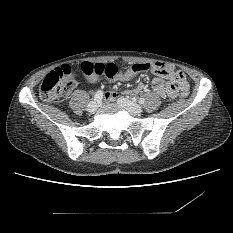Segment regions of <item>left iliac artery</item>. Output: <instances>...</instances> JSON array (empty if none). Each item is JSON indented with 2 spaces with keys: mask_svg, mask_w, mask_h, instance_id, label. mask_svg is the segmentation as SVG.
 Returning a JSON list of instances; mask_svg holds the SVG:
<instances>
[{
  "mask_svg": "<svg viewBox=\"0 0 233 233\" xmlns=\"http://www.w3.org/2000/svg\"><path fill=\"white\" fill-rule=\"evenodd\" d=\"M139 103H141V104L145 103V99L144 98H140L139 99Z\"/></svg>",
  "mask_w": 233,
  "mask_h": 233,
  "instance_id": "1",
  "label": "left iliac artery"
}]
</instances>
